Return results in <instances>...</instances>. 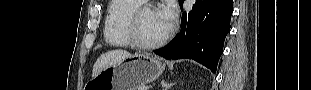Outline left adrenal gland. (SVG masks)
Returning a JSON list of instances; mask_svg holds the SVG:
<instances>
[{
    "instance_id": "a2214340",
    "label": "left adrenal gland",
    "mask_w": 311,
    "mask_h": 90,
    "mask_svg": "<svg viewBox=\"0 0 311 90\" xmlns=\"http://www.w3.org/2000/svg\"><path fill=\"white\" fill-rule=\"evenodd\" d=\"M161 84H162L163 90H169V88H171L175 83L168 84L167 82L163 80Z\"/></svg>"
}]
</instances>
